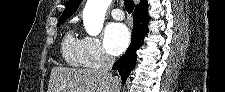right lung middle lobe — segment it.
Returning a JSON list of instances; mask_svg holds the SVG:
<instances>
[{"mask_svg":"<svg viewBox=\"0 0 225 92\" xmlns=\"http://www.w3.org/2000/svg\"><path fill=\"white\" fill-rule=\"evenodd\" d=\"M64 22H65V20H60L59 23H58V25H61Z\"/></svg>","mask_w":225,"mask_h":92,"instance_id":"right-lung-middle-lobe-1","label":"right lung middle lobe"}]
</instances>
